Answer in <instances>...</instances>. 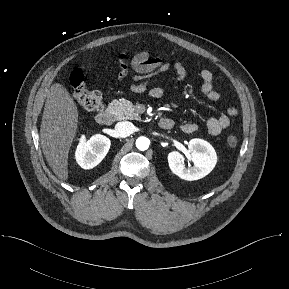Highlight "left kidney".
Masks as SVG:
<instances>
[{
  "mask_svg": "<svg viewBox=\"0 0 289 289\" xmlns=\"http://www.w3.org/2000/svg\"><path fill=\"white\" fill-rule=\"evenodd\" d=\"M192 167H186L184 156L178 151L168 154V163L171 171L181 179L193 181L208 175L215 167L217 156L214 148L205 140L192 139L188 144Z\"/></svg>",
  "mask_w": 289,
  "mask_h": 289,
  "instance_id": "1",
  "label": "left kidney"
}]
</instances>
